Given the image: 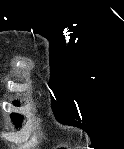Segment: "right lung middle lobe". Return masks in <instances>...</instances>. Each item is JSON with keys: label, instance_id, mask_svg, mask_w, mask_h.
<instances>
[{"label": "right lung middle lobe", "instance_id": "1", "mask_svg": "<svg viewBox=\"0 0 124 149\" xmlns=\"http://www.w3.org/2000/svg\"><path fill=\"white\" fill-rule=\"evenodd\" d=\"M14 104L17 106L19 105V103L17 101H15ZM11 118L16 124H19L23 117L20 114L12 113Z\"/></svg>", "mask_w": 124, "mask_h": 149}]
</instances>
